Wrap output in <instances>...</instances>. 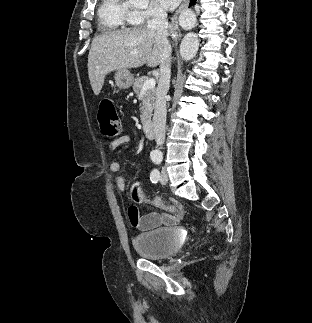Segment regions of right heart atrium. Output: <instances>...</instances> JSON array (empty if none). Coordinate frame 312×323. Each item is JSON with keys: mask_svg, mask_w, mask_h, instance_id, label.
I'll use <instances>...</instances> for the list:
<instances>
[{"mask_svg": "<svg viewBox=\"0 0 312 323\" xmlns=\"http://www.w3.org/2000/svg\"><path fill=\"white\" fill-rule=\"evenodd\" d=\"M131 17H137V22H150V17H166L167 11L161 6H143L142 10H131Z\"/></svg>", "mask_w": 312, "mask_h": 323, "instance_id": "d8ad5b80", "label": "right heart atrium"}]
</instances>
